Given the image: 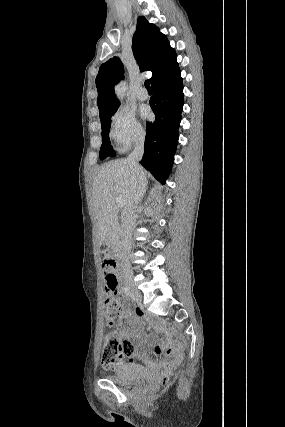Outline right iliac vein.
<instances>
[{"instance_id":"right-iliac-vein-1","label":"right iliac vein","mask_w":285,"mask_h":427,"mask_svg":"<svg viewBox=\"0 0 285 427\" xmlns=\"http://www.w3.org/2000/svg\"><path fill=\"white\" fill-rule=\"evenodd\" d=\"M126 286L129 289V291L132 293L133 297L140 302L142 300V296L140 294V291L138 289L135 288L132 280H127L126 281Z\"/></svg>"}]
</instances>
